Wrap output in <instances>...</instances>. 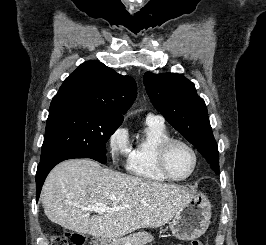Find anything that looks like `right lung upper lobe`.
Segmentation results:
<instances>
[{
    "label": "right lung upper lobe",
    "mask_w": 266,
    "mask_h": 245,
    "mask_svg": "<svg viewBox=\"0 0 266 245\" xmlns=\"http://www.w3.org/2000/svg\"><path fill=\"white\" fill-rule=\"evenodd\" d=\"M137 94L135 80L98 61L80 65L54 96L49 116L72 110H92L123 119Z\"/></svg>",
    "instance_id": "1"
}]
</instances>
